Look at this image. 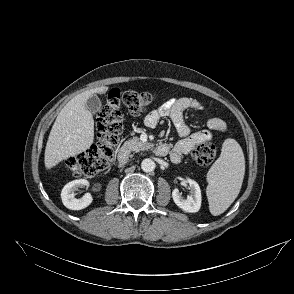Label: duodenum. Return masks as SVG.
I'll return each instance as SVG.
<instances>
[{
  "instance_id": "1",
  "label": "duodenum",
  "mask_w": 294,
  "mask_h": 294,
  "mask_svg": "<svg viewBox=\"0 0 294 294\" xmlns=\"http://www.w3.org/2000/svg\"><path fill=\"white\" fill-rule=\"evenodd\" d=\"M168 152H169V145L166 143H161L154 147V153L157 156H160V157L165 156L168 154ZM128 157H129V154L127 150L121 149L118 152V161L121 164H126L128 162Z\"/></svg>"
}]
</instances>
